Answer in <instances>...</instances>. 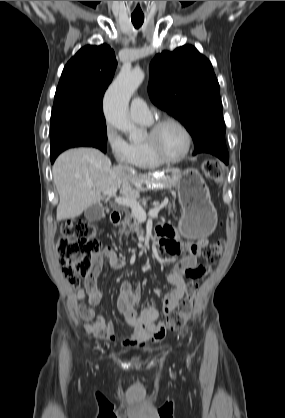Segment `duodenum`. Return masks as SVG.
Here are the masks:
<instances>
[{
  "label": "duodenum",
  "mask_w": 285,
  "mask_h": 418,
  "mask_svg": "<svg viewBox=\"0 0 285 418\" xmlns=\"http://www.w3.org/2000/svg\"><path fill=\"white\" fill-rule=\"evenodd\" d=\"M121 212L118 210H113L110 214V220L113 224L118 225L121 222Z\"/></svg>",
  "instance_id": "duodenum-1"
}]
</instances>
